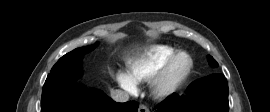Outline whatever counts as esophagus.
Segmentation results:
<instances>
[{
	"instance_id": "obj_1",
	"label": "esophagus",
	"mask_w": 270,
	"mask_h": 112,
	"mask_svg": "<svg viewBox=\"0 0 270 112\" xmlns=\"http://www.w3.org/2000/svg\"><path fill=\"white\" fill-rule=\"evenodd\" d=\"M138 112H150V111L145 105H140L138 108Z\"/></svg>"
}]
</instances>
